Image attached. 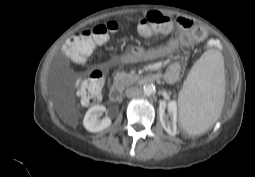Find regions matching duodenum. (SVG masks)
I'll use <instances>...</instances> for the list:
<instances>
[{"mask_svg": "<svg viewBox=\"0 0 255 177\" xmlns=\"http://www.w3.org/2000/svg\"><path fill=\"white\" fill-rule=\"evenodd\" d=\"M160 74L158 73H150V74H146L141 76L138 81L141 84H151V83H155L157 81H159L160 79ZM109 96L110 99L113 102H119L121 100L122 97V90L121 87L119 85H114L109 92Z\"/></svg>", "mask_w": 255, "mask_h": 177, "instance_id": "1", "label": "duodenum"}]
</instances>
